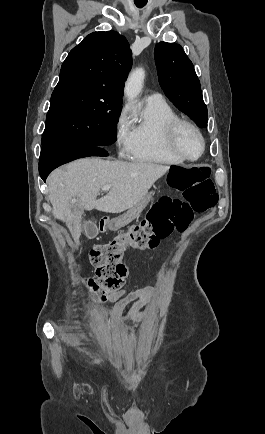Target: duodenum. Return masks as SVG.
<instances>
[{
	"label": "duodenum",
	"instance_id": "duodenum-1",
	"mask_svg": "<svg viewBox=\"0 0 265 434\" xmlns=\"http://www.w3.org/2000/svg\"><path fill=\"white\" fill-rule=\"evenodd\" d=\"M107 220H105L104 218H101L99 221H98V224H99V229L101 230V231H105L106 230V225H107Z\"/></svg>",
	"mask_w": 265,
	"mask_h": 434
}]
</instances>
